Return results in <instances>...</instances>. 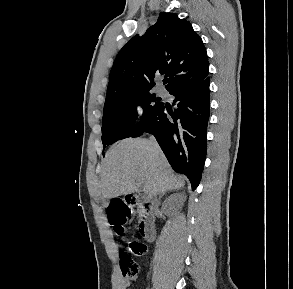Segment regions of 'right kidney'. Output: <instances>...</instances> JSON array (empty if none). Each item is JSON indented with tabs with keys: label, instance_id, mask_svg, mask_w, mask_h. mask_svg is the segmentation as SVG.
Masks as SVG:
<instances>
[{
	"label": "right kidney",
	"instance_id": "obj_1",
	"mask_svg": "<svg viewBox=\"0 0 293 289\" xmlns=\"http://www.w3.org/2000/svg\"><path fill=\"white\" fill-rule=\"evenodd\" d=\"M184 200L179 194L171 195L164 203L163 209L167 213L177 212V210L182 206Z\"/></svg>",
	"mask_w": 293,
	"mask_h": 289
}]
</instances>
